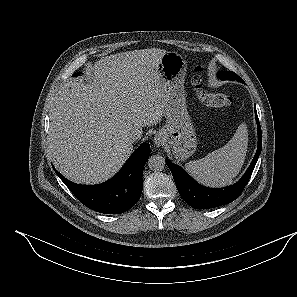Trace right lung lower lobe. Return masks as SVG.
<instances>
[{
    "label": "right lung lower lobe",
    "instance_id": "1",
    "mask_svg": "<svg viewBox=\"0 0 297 297\" xmlns=\"http://www.w3.org/2000/svg\"><path fill=\"white\" fill-rule=\"evenodd\" d=\"M149 155L150 146L143 143L131 155L119 173L100 185L75 184L57 170L55 172L86 207L100 213L119 214L129 210L138 202L143 188V168Z\"/></svg>",
    "mask_w": 297,
    "mask_h": 297
}]
</instances>
